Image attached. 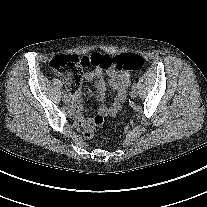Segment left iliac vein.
Returning <instances> with one entry per match:
<instances>
[{
    "label": "left iliac vein",
    "instance_id": "left-iliac-vein-1",
    "mask_svg": "<svg viewBox=\"0 0 207 207\" xmlns=\"http://www.w3.org/2000/svg\"><path fill=\"white\" fill-rule=\"evenodd\" d=\"M138 95V92H137V89H132L131 92H130V96L131 98H136Z\"/></svg>",
    "mask_w": 207,
    "mask_h": 207
}]
</instances>
